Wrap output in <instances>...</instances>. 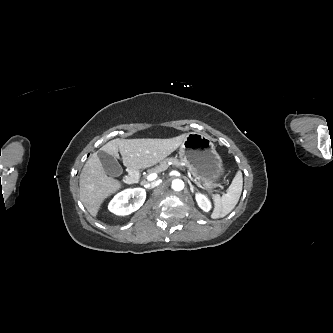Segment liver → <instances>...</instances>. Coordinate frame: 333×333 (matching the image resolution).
<instances>
[{
	"instance_id": "obj_1",
	"label": "liver",
	"mask_w": 333,
	"mask_h": 333,
	"mask_svg": "<svg viewBox=\"0 0 333 333\" xmlns=\"http://www.w3.org/2000/svg\"><path fill=\"white\" fill-rule=\"evenodd\" d=\"M182 134L169 139H114L100 150L118 157L120 152L123 163L132 169H144L164 160L174 152L186 138ZM80 199L87 211L96 217L102 203L121 188V182L107 176L97 153L85 163L80 174Z\"/></svg>"
}]
</instances>
